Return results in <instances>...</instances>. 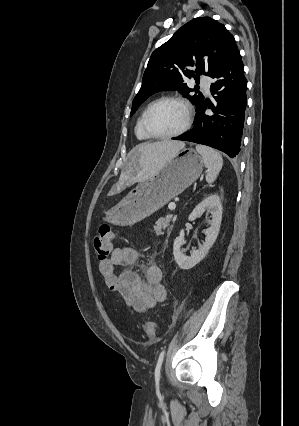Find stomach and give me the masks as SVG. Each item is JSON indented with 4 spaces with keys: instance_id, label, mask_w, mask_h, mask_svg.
<instances>
[{
    "instance_id": "0dacf381",
    "label": "stomach",
    "mask_w": 299,
    "mask_h": 426,
    "mask_svg": "<svg viewBox=\"0 0 299 426\" xmlns=\"http://www.w3.org/2000/svg\"><path fill=\"white\" fill-rule=\"evenodd\" d=\"M203 166V158L197 151L180 150L153 178L136 186L105 212V220L120 226L141 221L190 186L200 176Z\"/></svg>"
}]
</instances>
